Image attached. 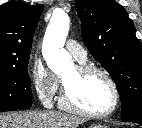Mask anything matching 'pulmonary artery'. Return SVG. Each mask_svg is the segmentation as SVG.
<instances>
[{
	"label": "pulmonary artery",
	"instance_id": "obj_1",
	"mask_svg": "<svg viewBox=\"0 0 142 128\" xmlns=\"http://www.w3.org/2000/svg\"><path fill=\"white\" fill-rule=\"evenodd\" d=\"M66 49L79 62H85L87 60L86 50L75 40H68L66 42Z\"/></svg>",
	"mask_w": 142,
	"mask_h": 128
}]
</instances>
